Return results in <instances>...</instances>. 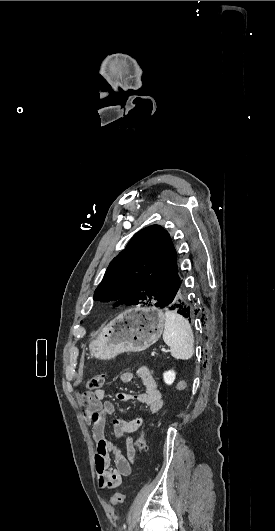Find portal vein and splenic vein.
Instances as JSON below:
<instances>
[{
  "instance_id": "portal-vein-and-splenic-vein-1",
  "label": "portal vein and splenic vein",
  "mask_w": 275,
  "mask_h": 531,
  "mask_svg": "<svg viewBox=\"0 0 275 531\" xmlns=\"http://www.w3.org/2000/svg\"><path fill=\"white\" fill-rule=\"evenodd\" d=\"M161 350L166 351V348L165 347H161Z\"/></svg>"
}]
</instances>
